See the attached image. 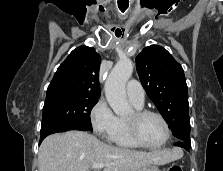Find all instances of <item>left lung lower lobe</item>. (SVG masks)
Returning a JSON list of instances; mask_svg holds the SVG:
<instances>
[{
	"mask_svg": "<svg viewBox=\"0 0 223 171\" xmlns=\"http://www.w3.org/2000/svg\"><path fill=\"white\" fill-rule=\"evenodd\" d=\"M175 145L180 146V147H183L186 150H189L190 149V142H184V141L177 140V142L175 143Z\"/></svg>",
	"mask_w": 223,
	"mask_h": 171,
	"instance_id": "obj_1",
	"label": "left lung lower lobe"
}]
</instances>
